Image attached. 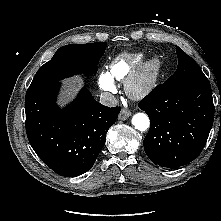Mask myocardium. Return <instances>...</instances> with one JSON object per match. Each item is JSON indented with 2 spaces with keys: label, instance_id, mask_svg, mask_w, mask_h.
<instances>
[{
  "label": "myocardium",
  "instance_id": "obj_1",
  "mask_svg": "<svg viewBox=\"0 0 221 221\" xmlns=\"http://www.w3.org/2000/svg\"><path fill=\"white\" fill-rule=\"evenodd\" d=\"M161 64V59L153 56L133 70L125 81V91L128 96L140 99L148 95L158 82Z\"/></svg>",
  "mask_w": 221,
  "mask_h": 221
}]
</instances>
